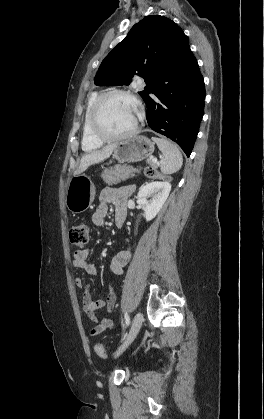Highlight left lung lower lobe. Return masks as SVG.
<instances>
[{
	"label": "left lung lower lobe",
	"mask_w": 264,
	"mask_h": 419,
	"mask_svg": "<svg viewBox=\"0 0 264 419\" xmlns=\"http://www.w3.org/2000/svg\"><path fill=\"white\" fill-rule=\"evenodd\" d=\"M169 52V72L155 81L145 99L147 122L189 157L204 113V81L184 33L170 43Z\"/></svg>",
	"instance_id": "left-lung-lower-lobe-1"
}]
</instances>
